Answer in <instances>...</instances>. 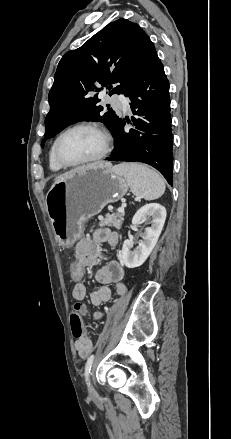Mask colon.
Here are the masks:
<instances>
[{"mask_svg": "<svg viewBox=\"0 0 231 439\" xmlns=\"http://www.w3.org/2000/svg\"><path fill=\"white\" fill-rule=\"evenodd\" d=\"M82 263V258L77 257L75 258V260L72 261V265L70 266V275L73 282V291L75 283H86L85 279H83L85 275V266ZM70 327L72 335L75 338L79 339L87 337L81 316L77 310L73 311L70 315Z\"/></svg>", "mask_w": 231, "mask_h": 439, "instance_id": "5ec220e1", "label": "colon"}]
</instances>
